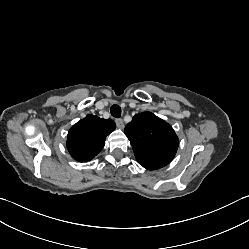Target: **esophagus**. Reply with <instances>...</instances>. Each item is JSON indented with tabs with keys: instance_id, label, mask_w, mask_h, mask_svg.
Returning <instances> with one entry per match:
<instances>
[{
	"instance_id": "obj_1",
	"label": "esophagus",
	"mask_w": 249,
	"mask_h": 249,
	"mask_svg": "<svg viewBox=\"0 0 249 249\" xmlns=\"http://www.w3.org/2000/svg\"><path fill=\"white\" fill-rule=\"evenodd\" d=\"M115 123H116V125H117L118 128H120V129L124 128V122H123L122 119H120V118L116 119Z\"/></svg>"
}]
</instances>
